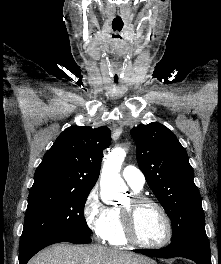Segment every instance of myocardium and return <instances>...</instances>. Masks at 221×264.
<instances>
[{
	"instance_id": "1",
	"label": "myocardium",
	"mask_w": 221,
	"mask_h": 264,
	"mask_svg": "<svg viewBox=\"0 0 221 264\" xmlns=\"http://www.w3.org/2000/svg\"><path fill=\"white\" fill-rule=\"evenodd\" d=\"M130 201H131V205L129 207H122L120 209L123 232L127 241L136 246L146 249H160L167 246L171 242L173 237V225L171 218L167 210L164 208V206L155 199L140 194L133 195ZM144 204H151L155 206L160 211V213L162 214L165 220L166 228H167L166 237L160 243H156V244L145 243L139 239L136 233L135 213L136 210Z\"/></svg>"
}]
</instances>
